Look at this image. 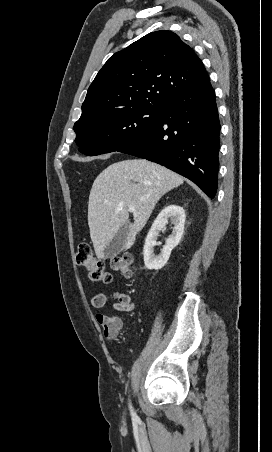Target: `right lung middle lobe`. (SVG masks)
<instances>
[{"instance_id": "dd1d6c3e", "label": "right lung middle lobe", "mask_w": 272, "mask_h": 452, "mask_svg": "<svg viewBox=\"0 0 272 452\" xmlns=\"http://www.w3.org/2000/svg\"><path fill=\"white\" fill-rule=\"evenodd\" d=\"M161 112L159 107L139 106L78 121L75 142L88 156L118 151L149 130Z\"/></svg>"}]
</instances>
